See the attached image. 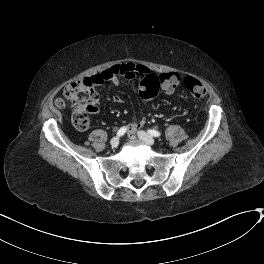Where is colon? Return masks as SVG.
I'll return each instance as SVG.
<instances>
[{
	"mask_svg": "<svg viewBox=\"0 0 264 264\" xmlns=\"http://www.w3.org/2000/svg\"><path fill=\"white\" fill-rule=\"evenodd\" d=\"M117 74H125L124 66H115ZM180 77L175 72L163 73L159 76L149 75L139 86V94L144 99H152L160 89L172 92L176 89ZM184 85L196 99H202L207 95L205 86L195 77L186 76ZM64 98H57L56 105L60 108L68 104L74 106L72 122L79 130H86L90 126V115L96 110L98 92L90 79H75L69 82L63 91Z\"/></svg>",
	"mask_w": 264,
	"mask_h": 264,
	"instance_id": "1",
	"label": "colon"
}]
</instances>
